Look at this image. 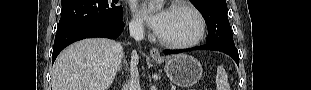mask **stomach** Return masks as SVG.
Wrapping results in <instances>:
<instances>
[{"label": "stomach", "mask_w": 311, "mask_h": 90, "mask_svg": "<svg viewBox=\"0 0 311 90\" xmlns=\"http://www.w3.org/2000/svg\"><path fill=\"white\" fill-rule=\"evenodd\" d=\"M155 61H161L154 59ZM164 70L168 78L180 87L196 84L202 76V66L193 56L178 54L165 59Z\"/></svg>", "instance_id": "0dacf381"}]
</instances>
